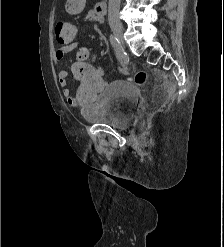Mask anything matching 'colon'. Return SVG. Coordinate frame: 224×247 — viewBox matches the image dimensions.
<instances>
[{
  "label": "colon",
  "instance_id": "1",
  "mask_svg": "<svg viewBox=\"0 0 224 247\" xmlns=\"http://www.w3.org/2000/svg\"><path fill=\"white\" fill-rule=\"evenodd\" d=\"M55 34L60 42L73 40L77 36V27L71 22L59 21L55 26ZM86 55L87 51L82 50L80 58H84ZM73 75L76 79L88 83V88L80 92L79 95L74 98L75 104L88 103L93 99L95 93L104 85L101 77L93 70V68L82 61H79L73 66ZM134 81L138 85H145L147 82L146 72L137 70L134 73Z\"/></svg>",
  "mask_w": 224,
  "mask_h": 247
}]
</instances>
